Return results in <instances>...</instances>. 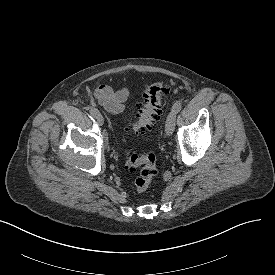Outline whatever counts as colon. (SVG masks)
<instances>
[{"mask_svg": "<svg viewBox=\"0 0 275 275\" xmlns=\"http://www.w3.org/2000/svg\"><path fill=\"white\" fill-rule=\"evenodd\" d=\"M168 87L161 81L154 82L146 88L136 115L134 130L143 134L149 131L159 120L165 104V96ZM125 166L129 171L140 167L139 175L135 179L134 186L137 192L146 191L157 174L156 157L153 154L138 156L135 153L127 152L125 155Z\"/></svg>", "mask_w": 275, "mask_h": 275, "instance_id": "1", "label": "colon"}]
</instances>
